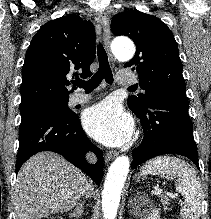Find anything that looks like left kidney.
I'll return each instance as SVG.
<instances>
[{
  "label": "left kidney",
  "mask_w": 211,
  "mask_h": 219,
  "mask_svg": "<svg viewBox=\"0 0 211 219\" xmlns=\"http://www.w3.org/2000/svg\"><path fill=\"white\" fill-rule=\"evenodd\" d=\"M147 219H160V216H159V209H153V210L149 213Z\"/></svg>",
  "instance_id": "left-kidney-1"
}]
</instances>
